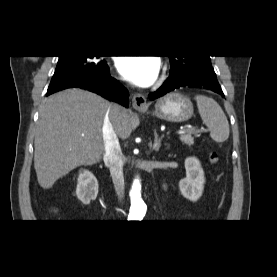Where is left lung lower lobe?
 <instances>
[{
	"label": "left lung lower lobe",
	"mask_w": 277,
	"mask_h": 277,
	"mask_svg": "<svg viewBox=\"0 0 277 277\" xmlns=\"http://www.w3.org/2000/svg\"><path fill=\"white\" fill-rule=\"evenodd\" d=\"M193 85L224 96L214 71H193L188 74H170L168 79L156 92L149 94V98L154 100L180 87Z\"/></svg>",
	"instance_id": "obj_1"
}]
</instances>
